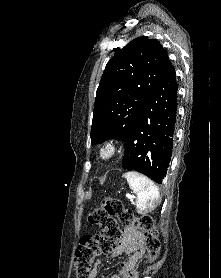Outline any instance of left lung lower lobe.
I'll return each instance as SVG.
<instances>
[{
  "label": "left lung lower lobe",
  "mask_w": 221,
  "mask_h": 278,
  "mask_svg": "<svg viewBox=\"0 0 221 278\" xmlns=\"http://www.w3.org/2000/svg\"><path fill=\"white\" fill-rule=\"evenodd\" d=\"M176 73L169 61L125 142L122 166L157 183L166 176L177 116Z\"/></svg>",
  "instance_id": "1"
}]
</instances>
